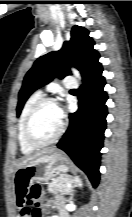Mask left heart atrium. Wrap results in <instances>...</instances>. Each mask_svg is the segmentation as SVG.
Here are the masks:
<instances>
[{"label":"left heart atrium","mask_w":132,"mask_h":217,"mask_svg":"<svg viewBox=\"0 0 132 217\" xmlns=\"http://www.w3.org/2000/svg\"><path fill=\"white\" fill-rule=\"evenodd\" d=\"M58 110H59L60 117L62 118V116H63V113H62V111H61V109H60V108H58Z\"/></svg>","instance_id":"39dd6f15"}]
</instances>
